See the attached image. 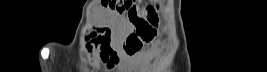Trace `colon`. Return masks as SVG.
Segmentation results:
<instances>
[{
    "mask_svg": "<svg viewBox=\"0 0 267 72\" xmlns=\"http://www.w3.org/2000/svg\"><path fill=\"white\" fill-rule=\"evenodd\" d=\"M106 4L118 12H128L132 34L124 42V49L127 53H134L139 50L143 43L150 41L155 35V27L158 25V16L154 7L148 6L140 9L135 6L132 0H108ZM100 57L103 58L104 50H110L107 41L99 46ZM90 52L92 49L89 50Z\"/></svg>",
    "mask_w": 267,
    "mask_h": 72,
    "instance_id": "1",
    "label": "colon"
}]
</instances>
